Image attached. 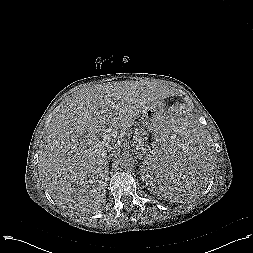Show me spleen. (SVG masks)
Returning <instances> with one entry per match:
<instances>
[{"label":"spleen","instance_id":"3e777b00","mask_svg":"<svg viewBox=\"0 0 253 253\" xmlns=\"http://www.w3.org/2000/svg\"><path fill=\"white\" fill-rule=\"evenodd\" d=\"M214 163L211 137L192 111L180 108L162 118L139 165L157 196L185 202L210 180Z\"/></svg>","mask_w":253,"mask_h":253}]
</instances>
